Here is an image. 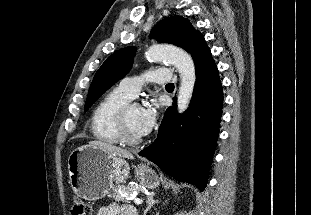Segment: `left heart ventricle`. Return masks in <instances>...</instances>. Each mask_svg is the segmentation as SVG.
Returning <instances> with one entry per match:
<instances>
[{"label": "left heart ventricle", "mask_w": 311, "mask_h": 215, "mask_svg": "<svg viewBox=\"0 0 311 215\" xmlns=\"http://www.w3.org/2000/svg\"><path fill=\"white\" fill-rule=\"evenodd\" d=\"M140 111H141V107H133L128 111L127 116H126L128 130L130 134L135 138L142 137L139 134L138 129H137V122H138Z\"/></svg>", "instance_id": "1"}]
</instances>
